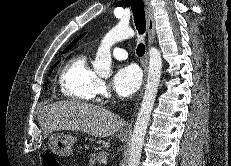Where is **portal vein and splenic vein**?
Returning <instances> with one entry per match:
<instances>
[{
  "mask_svg": "<svg viewBox=\"0 0 231 166\" xmlns=\"http://www.w3.org/2000/svg\"><path fill=\"white\" fill-rule=\"evenodd\" d=\"M102 163H103V164H106V163H107V159H103V160H102Z\"/></svg>",
  "mask_w": 231,
  "mask_h": 166,
  "instance_id": "obj_1",
  "label": "portal vein and splenic vein"
}]
</instances>
